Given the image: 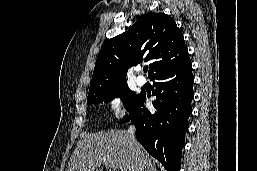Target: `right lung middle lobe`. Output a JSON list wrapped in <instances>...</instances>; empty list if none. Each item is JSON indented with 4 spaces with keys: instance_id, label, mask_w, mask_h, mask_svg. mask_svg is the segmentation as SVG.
<instances>
[{
    "instance_id": "right-lung-middle-lobe-1",
    "label": "right lung middle lobe",
    "mask_w": 257,
    "mask_h": 171,
    "mask_svg": "<svg viewBox=\"0 0 257 171\" xmlns=\"http://www.w3.org/2000/svg\"><path fill=\"white\" fill-rule=\"evenodd\" d=\"M140 96L141 94H135V92L129 89L127 83H124L109 88L90 91L87 97V104L108 103L113 98L122 97V101L130 111Z\"/></svg>"
}]
</instances>
